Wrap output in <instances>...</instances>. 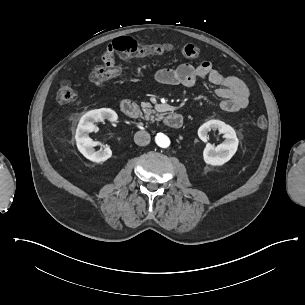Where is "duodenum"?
<instances>
[{
    "mask_svg": "<svg viewBox=\"0 0 305 305\" xmlns=\"http://www.w3.org/2000/svg\"><path fill=\"white\" fill-rule=\"evenodd\" d=\"M121 112L130 118H138L141 116L139 105L131 100H123L120 105ZM166 126L172 129H179L183 124V118L178 113H168L164 117Z\"/></svg>",
    "mask_w": 305,
    "mask_h": 305,
    "instance_id": "1",
    "label": "duodenum"
}]
</instances>
